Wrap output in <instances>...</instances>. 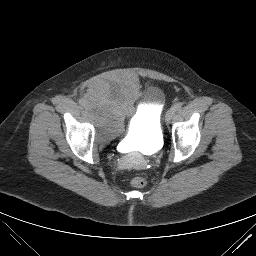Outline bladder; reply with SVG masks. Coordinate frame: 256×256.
Masks as SVG:
<instances>
[{
	"label": "bladder",
	"instance_id": "31cf9c89",
	"mask_svg": "<svg viewBox=\"0 0 256 256\" xmlns=\"http://www.w3.org/2000/svg\"><path fill=\"white\" fill-rule=\"evenodd\" d=\"M85 98V108L99 141L110 142L124 134V121L129 115L135 116L125 134L129 142L154 148L162 141L165 95L160 88L144 89L136 79L108 76L99 79ZM141 99L145 104L136 114Z\"/></svg>",
	"mask_w": 256,
	"mask_h": 256
}]
</instances>
